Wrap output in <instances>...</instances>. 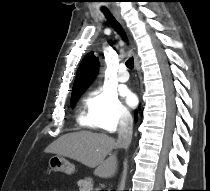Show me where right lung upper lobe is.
Instances as JSON below:
<instances>
[{
  "label": "right lung upper lobe",
  "instance_id": "right-lung-upper-lobe-1",
  "mask_svg": "<svg viewBox=\"0 0 210 191\" xmlns=\"http://www.w3.org/2000/svg\"><path fill=\"white\" fill-rule=\"evenodd\" d=\"M98 71V59L90 52L85 56L78 68L72 89V98L79 96L93 80ZM71 98V99H72Z\"/></svg>",
  "mask_w": 210,
  "mask_h": 191
}]
</instances>
